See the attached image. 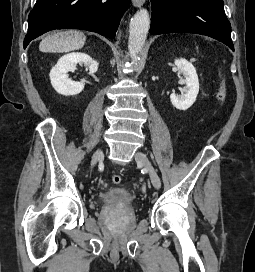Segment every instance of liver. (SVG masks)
<instances>
[{
    "label": "liver",
    "instance_id": "6515ba94",
    "mask_svg": "<svg viewBox=\"0 0 255 272\" xmlns=\"http://www.w3.org/2000/svg\"><path fill=\"white\" fill-rule=\"evenodd\" d=\"M86 41L84 33L75 30L57 32L42 39L39 44L41 52H69L81 49Z\"/></svg>",
    "mask_w": 255,
    "mask_h": 272
}]
</instances>
